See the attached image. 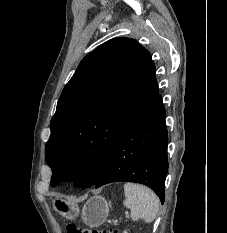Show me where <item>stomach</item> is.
<instances>
[{
    "label": "stomach",
    "instance_id": "0dacf381",
    "mask_svg": "<svg viewBox=\"0 0 227 233\" xmlns=\"http://www.w3.org/2000/svg\"><path fill=\"white\" fill-rule=\"evenodd\" d=\"M55 209L65 218L74 219L81 216L82 221L89 227L102 225L109 214L110 204L101 196L91 198L82 210L70 200L57 198L54 200Z\"/></svg>",
    "mask_w": 227,
    "mask_h": 233
}]
</instances>
